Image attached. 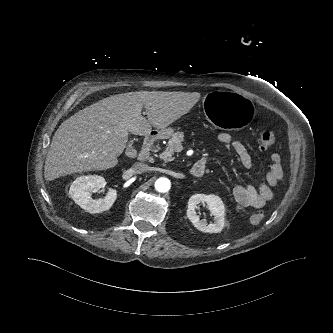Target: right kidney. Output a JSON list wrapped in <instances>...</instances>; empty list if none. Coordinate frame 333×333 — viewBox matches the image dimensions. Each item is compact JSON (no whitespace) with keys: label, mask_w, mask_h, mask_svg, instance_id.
Returning <instances> with one entry per match:
<instances>
[{"label":"right kidney","mask_w":333,"mask_h":333,"mask_svg":"<svg viewBox=\"0 0 333 333\" xmlns=\"http://www.w3.org/2000/svg\"><path fill=\"white\" fill-rule=\"evenodd\" d=\"M106 185L102 176H80L71 184L69 194L81 208L90 213H100L108 210L117 198L115 189L109 188L104 198L93 200L91 192H97Z\"/></svg>","instance_id":"obj_1"}]
</instances>
